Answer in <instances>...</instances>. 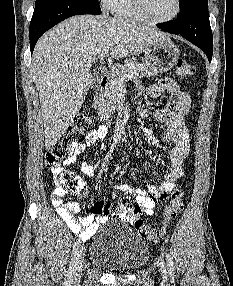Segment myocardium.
<instances>
[{
	"label": "myocardium",
	"instance_id": "obj_1",
	"mask_svg": "<svg viewBox=\"0 0 233 286\" xmlns=\"http://www.w3.org/2000/svg\"><path fill=\"white\" fill-rule=\"evenodd\" d=\"M132 1H133L135 9L141 15V17L145 21H147L151 24H164V23L170 22V21L174 20L179 15L180 10H181L180 0H175V4H176L175 10L169 17L164 18V19H154V18L150 17L149 14L147 13L144 0H132Z\"/></svg>",
	"mask_w": 233,
	"mask_h": 286
}]
</instances>
